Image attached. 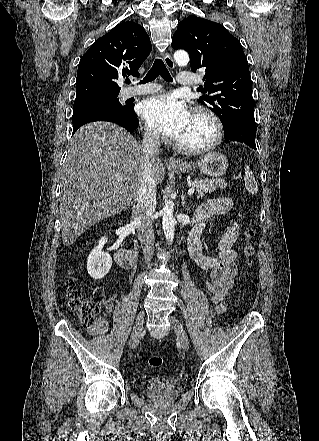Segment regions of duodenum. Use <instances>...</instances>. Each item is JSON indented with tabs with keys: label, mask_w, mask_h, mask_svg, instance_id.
<instances>
[{
	"label": "duodenum",
	"mask_w": 319,
	"mask_h": 441,
	"mask_svg": "<svg viewBox=\"0 0 319 441\" xmlns=\"http://www.w3.org/2000/svg\"><path fill=\"white\" fill-rule=\"evenodd\" d=\"M123 224L119 222L117 224L118 228H121ZM136 252L132 249L126 248L120 245L114 253L115 261L124 268H131L136 262Z\"/></svg>",
	"instance_id": "duodenum-1"
}]
</instances>
